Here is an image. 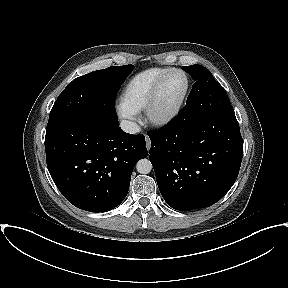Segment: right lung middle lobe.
I'll return each instance as SVG.
<instances>
[{
    "label": "right lung middle lobe",
    "mask_w": 288,
    "mask_h": 288,
    "mask_svg": "<svg viewBox=\"0 0 288 288\" xmlns=\"http://www.w3.org/2000/svg\"><path fill=\"white\" fill-rule=\"evenodd\" d=\"M133 69V65L113 66L75 78L57 98L47 129L79 117L116 120V94Z\"/></svg>",
    "instance_id": "dd1d6c3e"
}]
</instances>
